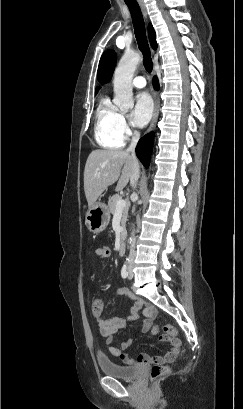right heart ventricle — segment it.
<instances>
[{
  "label": "right heart ventricle",
  "instance_id": "obj_1",
  "mask_svg": "<svg viewBox=\"0 0 243 409\" xmlns=\"http://www.w3.org/2000/svg\"><path fill=\"white\" fill-rule=\"evenodd\" d=\"M118 115L119 111L110 98L102 97L95 114V139L104 148L118 149L124 145V138L116 129Z\"/></svg>",
  "mask_w": 243,
  "mask_h": 409
}]
</instances>
